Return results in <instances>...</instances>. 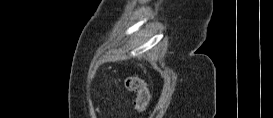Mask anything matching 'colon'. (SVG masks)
<instances>
[{
  "label": "colon",
  "mask_w": 273,
  "mask_h": 118,
  "mask_svg": "<svg viewBox=\"0 0 273 118\" xmlns=\"http://www.w3.org/2000/svg\"><path fill=\"white\" fill-rule=\"evenodd\" d=\"M125 88L136 94L135 109L138 113H143L148 106L150 98L145 82L139 77L131 76L126 78Z\"/></svg>",
  "instance_id": "obj_1"
}]
</instances>
